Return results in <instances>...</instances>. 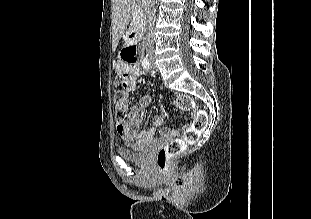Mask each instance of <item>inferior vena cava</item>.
Masks as SVG:
<instances>
[{
    "label": "inferior vena cava",
    "instance_id": "1",
    "mask_svg": "<svg viewBox=\"0 0 311 219\" xmlns=\"http://www.w3.org/2000/svg\"><path fill=\"white\" fill-rule=\"evenodd\" d=\"M144 4V10L147 14V29H148V34L146 36V50L151 51L153 50L154 46V39H153V28H154V23H155V11L152 10V4L151 0H142Z\"/></svg>",
    "mask_w": 311,
    "mask_h": 219
}]
</instances>
